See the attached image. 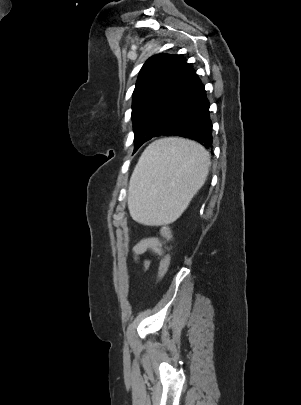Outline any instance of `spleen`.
<instances>
[{"label":"spleen","mask_w":301,"mask_h":405,"mask_svg":"<svg viewBox=\"0 0 301 405\" xmlns=\"http://www.w3.org/2000/svg\"><path fill=\"white\" fill-rule=\"evenodd\" d=\"M210 156L200 144L182 138L152 142L130 179L128 208L145 225L177 220L206 181Z\"/></svg>","instance_id":"1"}]
</instances>
